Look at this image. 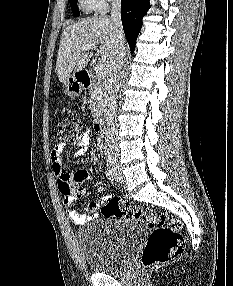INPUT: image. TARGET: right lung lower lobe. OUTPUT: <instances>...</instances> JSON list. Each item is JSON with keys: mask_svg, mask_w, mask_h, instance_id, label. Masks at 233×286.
Listing matches in <instances>:
<instances>
[{"mask_svg": "<svg viewBox=\"0 0 233 286\" xmlns=\"http://www.w3.org/2000/svg\"><path fill=\"white\" fill-rule=\"evenodd\" d=\"M149 0H121V20L131 53L142 27V18L149 9Z\"/></svg>", "mask_w": 233, "mask_h": 286, "instance_id": "right-lung-lower-lobe-1", "label": "right lung lower lobe"}]
</instances>
